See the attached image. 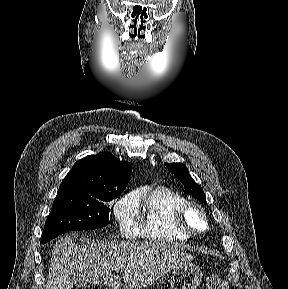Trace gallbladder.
Returning a JSON list of instances; mask_svg holds the SVG:
<instances>
[{
  "label": "gallbladder",
  "mask_w": 288,
  "mask_h": 289,
  "mask_svg": "<svg viewBox=\"0 0 288 289\" xmlns=\"http://www.w3.org/2000/svg\"><path fill=\"white\" fill-rule=\"evenodd\" d=\"M72 280L76 286H84L86 284V280L77 272L72 275Z\"/></svg>",
  "instance_id": "bac80fb5"
}]
</instances>
